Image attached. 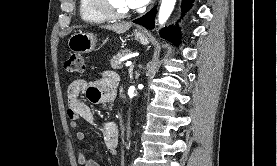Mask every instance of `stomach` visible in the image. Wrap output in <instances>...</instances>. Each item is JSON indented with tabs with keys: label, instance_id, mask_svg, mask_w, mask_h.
<instances>
[{
	"label": "stomach",
	"instance_id": "0dacf381",
	"mask_svg": "<svg viewBox=\"0 0 277 166\" xmlns=\"http://www.w3.org/2000/svg\"><path fill=\"white\" fill-rule=\"evenodd\" d=\"M135 39L143 45L149 43L147 35L139 30L134 32ZM97 38L92 33L76 32L68 40V46L75 53H89L96 47Z\"/></svg>",
	"mask_w": 277,
	"mask_h": 166
}]
</instances>
